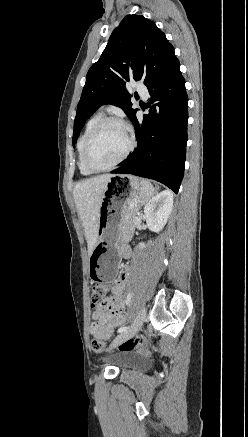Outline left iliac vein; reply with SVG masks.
I'll return each mask as SVG.
<instances>
[{
  "mask_svg": "<svg viewBox=\"0 0 248 437\" xmlns=\"http://www.w3.org/2000/svg\"><path fill=\"white\" fill-rule=\"evenodd\" d=\"M145 319H146V309L145 307H142L139 310L137 318L134 324L131 326V328L123 333H120L119 335H117V337H115V339L110 345V350L116 347L118 344L122 343L123 341L133 337L136 333H138Z\"/></svg>",
  "mask_w": 248,
  "mask_h": 437,
  "instance_id": "obj_1",
  "label": "left iliac vein"
}]
</instances>
